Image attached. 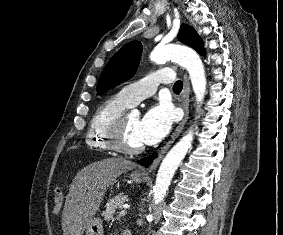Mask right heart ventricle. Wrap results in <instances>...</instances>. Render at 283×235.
Returning a JSON list of instances; mask_svg holds the SVG:
<instances>
[{"mask_svg": "<svg viewBox=\"0 0 283 235\" xmlns=\"http://www.w3.org/2000/svg\"><path fill=\"white\" fill-rule=\"evenodd\" d=\"M131 105L117 94L104 100L94 111L86 132V145L96 151H112L108 139V129L114 120L123 114Z\"/></svg>", "mask_w": 283, "mask_h": 235, "instance_id": "1", "label": "right heart ventricle"}]
</instances>
